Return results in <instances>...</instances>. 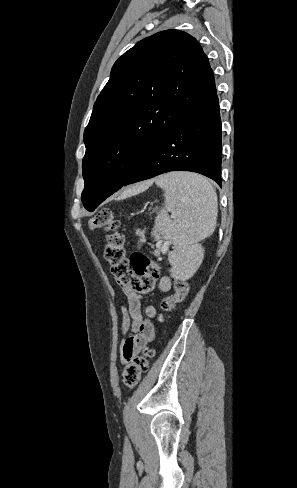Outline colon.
Listing matches in <instances>:
<instances>
[{
  "mask_svg": "<svg viewBox=\"0 0 297 488\" xmlns=\"http://www.w3.org/2000/svg\"><path fill=\"white\" fill-rule=\"evenodd\" d=\"M90 225L93 229H103L107 233L105 259L110 264L111 273L116 280L137 292H151L155 288L162 266L141 252H135L129 258L127 257L125 239L119 231L120 222L113 212L108 208L99 210L91 218ZM188 292V283L177 279L174 283L173 295L163 299L161 308L164 311H171L186 298ZM159 320L163 322V315H160ZM153 356L154 351L145 348L142 354L127 363L122 374V381L127 389L136 387L142 374L148 371L149 361Z\"/></svg>",
  "mask_w": 297,
  "mask_h": 488,
  "instance_id": "1",
  "label": "colon"
}]
</instances>
